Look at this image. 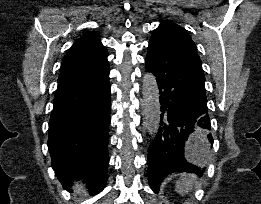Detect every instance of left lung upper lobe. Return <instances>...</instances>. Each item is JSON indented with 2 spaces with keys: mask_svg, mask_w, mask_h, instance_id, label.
I'll use <instances>...</instances> for the list:
<instances>
[{
  "mask_svg": "<svg viewBox=\"0 0 261 204\" xmlns=\"http://www.w3.org/2000/svg\"><path fill=\"white\" fill-rule=\"evenodd\" d=\"M167 34L169 36H175L182 42L186 43L194 52H196L195 43L188 35L186 30L181 26L171 21H163L159 27L153 32L152 35Z\"/></svg>",
  "mask_w": 261,
  "mask_h": 204,
  "instance_id": "5c2ea615",
  "label": "left lung upper lobe"
}]
</instances>
